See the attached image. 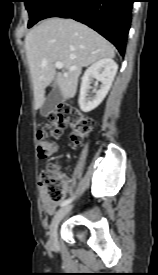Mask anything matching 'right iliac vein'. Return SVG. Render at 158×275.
Here are the masks:
<instances>
[{
	"instance_id": "obj_1",
	"label": "right iliac vein",
	"mask_w": 158,
	"mask_h": 275,
	"mask_svg": "<svg viewBox=\"0 0 158 275\" xmlns=\"http://www.w3.org/2000/svg\"><path fill=\"white\" fill-rule=\"evenodd\" d=\"M71 206H65L59 209L49 226V243L52 247H57L58 246V234H57V229L58 225L61 222V220L67 215V213L70 211Z\"/></svg>"
}]
</instances>
